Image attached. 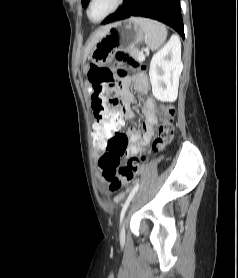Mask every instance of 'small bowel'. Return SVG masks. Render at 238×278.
<instances>
[{
	"label": "small bowel",
	"instance_id": "small-bowel-1",
	"mask_svg": "<svg viewBox=\"0 0 238 278\" xmlns=\"http://www.w3.org/2000/svg\"><path fill=\"white\" fill-rule=\"evenodd\" d=\"M116 63L117 64H112L111 75L114 76L116 89H120L121 92L122 126L124 119L134 118V112L130 107L131 103L134 101V96L129 91L130 79L124 76H115L116 72H120V69H123V64H120V59H117ZM134 86L139 93H147L146 78L139 77L135 81ZM142 112L145 119L140 129L137 130L134 127H129L125 133H120L118 135H109L107 137L106 141H108V144H128L126 154H122L123 156H135L139 154L148 145L153 135V125L157 121V109L155 101L151 98L146 99L143 104Z\"/></svg>",
	"mask_w": 238,
	"mask_h": 278
}]
</instances>
